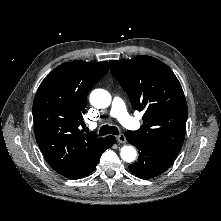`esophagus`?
<instances>
[{
    "label": "esophagus",
    "instance_id": "obj_1",
    "mask_svg": "<svg viewBox=\"0 0 221 221\" xmlns=\"http://www.w3.org/2000/svg\"><path fill=\"white\" fill-rule=\"evenodd\" d=\"M116 140L119 143H125L126 142V137L123 134H120V135L116 136Z\"/></svg>",
    "mask_w": 221,
    "mask_h": 221
}]
</instances>
